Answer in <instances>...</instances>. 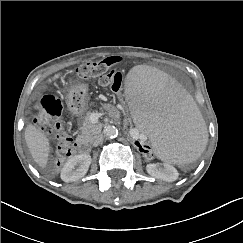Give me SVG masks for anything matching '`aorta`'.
<instances>
[{
	"label": "aorta",
	"mask_w": 243,
	"mask_h": 243,
	"mask_svg": "<svg viewBox=\"0 0 243 243\" xmlns=\"http://www.w3.org/2000/svg\"><path fill=\"white\" fill-rule=\"evenodd\" d=\"M104 135L108 138H115L118 135V129L113 125H108L104 129Z\"/></svg>",
	"instance_id": "762f6f07"
}]
</instances>
